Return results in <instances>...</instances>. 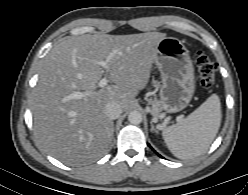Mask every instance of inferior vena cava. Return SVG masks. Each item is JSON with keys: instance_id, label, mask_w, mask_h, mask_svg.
<instances>
[{"instance_id": "1", "label": "inferior vena cava", "mask_w": 248, "mask_h": 195, "mask_svg": "<svg viewBox=\"0 0 248 195\" xmlns=\"http://www.w3.org/2000/svg\"><path fill=\"white\" fill-rule=\"evenodd\" d=\"M121 106L116 102H110L105 106V114L109 119H117L122 113Z\"/></svg>"}]
</instances>
